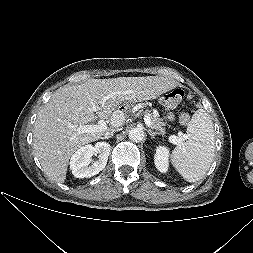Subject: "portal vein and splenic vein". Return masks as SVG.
I'll return each mask as SVG.
<instances>
[{
	"label": "portal vein and splenic vein",
	"mask_w": 253,
	"mask_h": 253,
	"mask_svg": "<svg viewBox=\"0 0 253 253\" xmlns=\"http://www.w3.org/2000/svg\"><path fill=\"white\" fill-rule=\"evenodd\" d=\"M107 98L103 99V102L106 100ZM98 108V105H93L92 110L96 111ZM120 116L118 114H113V119H119ZM144 121L146 123L147 126L151 125V119L148 115L144 116ZM107 129V124L106 121L103 119H100L98 121L97 125H82L79 126L78 128H76V131L78 134H82V133H95V132H102L104 130ZM186 138V136L183 133H179V136H175V135H171L169 137V141L173 144H178L180 141L184 140Z\"/></svg>",
	"instance_id": "obj_1"
}]
</instances>
